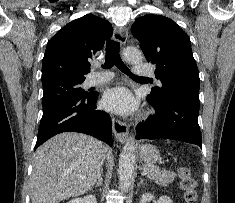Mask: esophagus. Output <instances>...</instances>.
<instances>
[{
  "mask_svg": "<svg viewBox=\"0 0 235 203\" xmlns=\"http://www.w3.org/2000/svg\"><path fill=\"white\" fill-rule=\"evenodd\" d=\"M127 38L128 29L126 27H116L114 29L113 39L119 42L122 46L125 45ZM112 130L116 140L120 143H124L128 136L127 124L112 117Z\"/></svg>",
  "mask_w": 235,
  "mask_h": 203,
  "instance_id": "esophagus-1",
  "label": "esophagus"
}]
</instances>
